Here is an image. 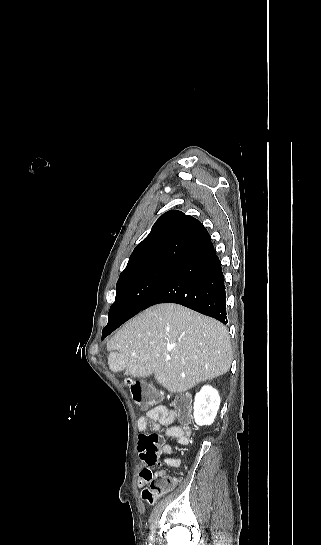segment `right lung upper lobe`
I'll list each match as a JSON object with an SVG mask.
<instances>
[{"label": "right lung upper lobe", "mask_w": 321, "mask_h": 545, "mask_svg": "<svg viewBox=\"0 0 321 545\" xmlns=\"http://www.w3.org/2000/svg\"><path fill=\"white\" fill-rule=\"evenodd\" d=\"M210 243L208 231L197 219L177 210L168 211L134 249L122 273L152 265L180 267Z\"/></svg>", "instance_id": "obj_1"}]
</instances>
